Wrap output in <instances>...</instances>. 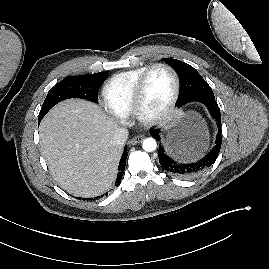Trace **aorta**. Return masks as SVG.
<instances>
[{
    "label": "aorta",
    "mask_w": 269,
    "mask_h": 269,
    "mask_svg": "<svg viewBox=\"0 0 269 269\" xmlns=\"http://www.w3.org/2000/svg\"><path fill=\"white\" fill-rule=\"evenodd\" d=\"M156 147H157L156 140L152 137L146 138L142 142V148L146 152H153L156 150Z\"/></svg>",
    "instance_id": "aorta-1"
}]
</instances>
